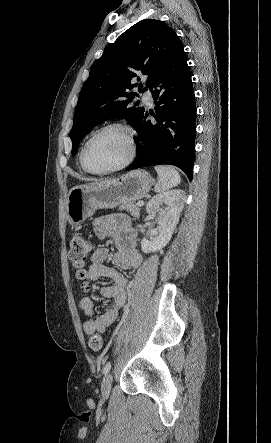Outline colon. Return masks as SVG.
Instances as JSON below:
<instances>
[{
    "mask_svg": "<svg viewBox=\"0 0 271 443\" xmlns=\"http://www.w3.org/2000/svg\"><path fill=\"white\" fill-rule=\"evenodd\" d=\"M69 260L73 267L78 271L79 278L85 277L83 269L88 255L92 252L94 244L91 239L82 234H73L68 241ZM89 347L94 352H100L103 349V340L100 334L94 333L89 337Z\"/></svg>",
    "mask_w": 271,
    "mask_h": 443,
    "instance_id": "1",
    "label": "colon"
}]
</instances>
